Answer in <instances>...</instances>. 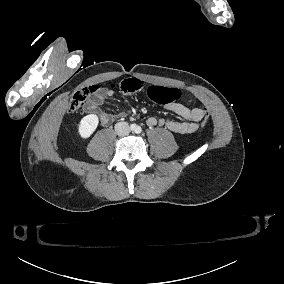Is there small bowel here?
Here are the masks:
<instances>
[{
    "instance_id": "small-bowel-1",
    "label": "small bowel",
    "mask_w": 284,
    "mask_h": 284,
    "mask_svg": "<svg viewBox=\"0 0 284 284\" xmlns=\"http://www.w3.org/2000/svg\"><path fill=\"white\" fill-rule=\"evenodd\" d=\"M105 95L112 96V90H106ZM104 103L103 95H96L89 103L87 107L88 110L97 108L98 106ZM166 108L184 119V121H173V120H164L156 119L150 117L147 120V125L149 127H154L157 124L164 125L168 130L179 135H189L194 133L198 127L200 121L203 119L205 114V109L202 107L188 108L179 103H171L166 106ZM125 113H121V116H124ZM112 116L109 113L102 112L100 114V120L103 124L108 123L111 120Z\"/></svg>"
}]
</instances>
